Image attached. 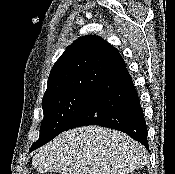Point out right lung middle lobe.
<instances>
[{
	"label": "right lung middle lobe",
	"mask_w": 175,
	"mask_h": 174,
	"mask_svg": "<svg viewBox=\"0 0 175 174\" xmlns=\"http://www.w3.org/2000/svg\"><path fill=\"white\" fill-rule=\"evenodd\" d=\"M92 89L65 92L42 100L44 118L39 139L30 151L46 144L65 131Z\"/></svg>",
	"instance_id": "1"
}]
</instances>
